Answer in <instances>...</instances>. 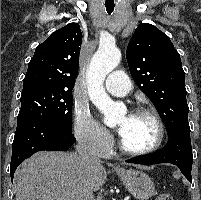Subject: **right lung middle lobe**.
<instances>
[{
	"mask_svg": "<svg viewBox=\"0 0 201 200\" xmlns=\"http://www.w3.org/2000/svg\"><path fill=\"white\" fill-rule=\"evenodd\" d=\"M72 93L51 90L22 92L17 123L31 119H48L72 130Z\"/></svg>",
	"mask_w": 201,
	"mask_h": 200,
	"instance_id": "1",
	"label": "right lung middle lobe"
}]
</instances>
